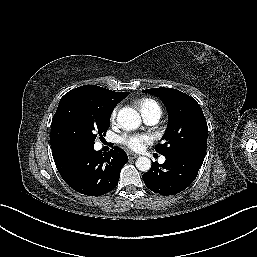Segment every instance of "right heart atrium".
<instances>
[{
	"instance_id": "obj_1",
	"label": "right heart atrium",
	"mask_w": 257,
	"mask_h": 257,
	"mask_svg": "<svg viewBox=\"0 0 257 257\" xmlns=\"http://www.w3.org/2000/svg\"><path fill=\"white\" fill-rule=\"evenodd\" d=\"M118 111H119V108L118 107H115L111 114H110V121L111 122H115L116 118H117V115H118Z\"/></svg>"
}]
</instances>
